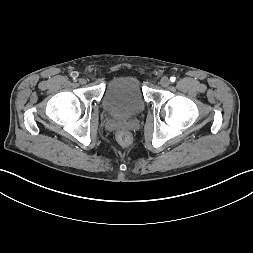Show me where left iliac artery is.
<instances>
[{
    "instance_id": "left-iliac-artery-1",
    "label": "left iliac artery",
    "mask_w": 253,
    "mask_h": 253,
    "mask_svg": "<svg viewBox=\"0 0 253 253\" xmlns=\"http://www.w3.org/2000/svg\"><path fill=\"white\" fill-rule=\"evenodd\" d=\"M175 80H176V78L173 77V76L170 78V81H171V82H175Z\"/></svg>"
}]
</instances>
